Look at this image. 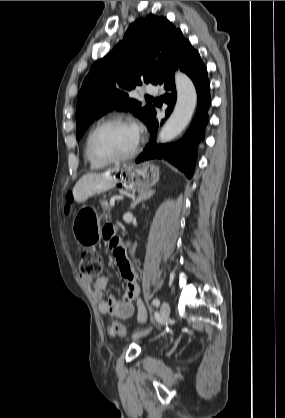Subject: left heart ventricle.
<instances>
[{
	"label": "left heart ventricle",
	"instance_id": "b2bd125f",
	"mask_svg": "<svg viewBox=\"0 0 285 418\" xmlns=\"http://www.w3.org/2000/svg\"><path fill=\"white\" fill-rule=\"evenodd\" d=\"M136 139L131 126L110 125L96 134L93 145L103 155L123 156L133 149Z\"/></svg>",
	"mask_w": 285,
	"mask_h": 418
}]
</instances>
